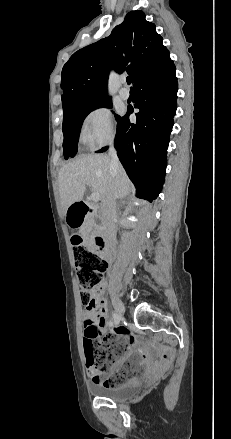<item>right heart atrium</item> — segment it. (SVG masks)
Listing matches in <instances>:
<instances>
[{"label": "right heart atrium", "mask_w": 231, "mask_h": 439, "mask_svg": "<svg viewBox=\"0 0 231 439\" xmlns=\"http://www.w3.org/2000/svg\"><path fill=\"white\" fill-rule=\"evenodd\" d=\"M115 128L111 111L99 105L87 112L82 122V141L91 148H100L113 141Z\"/></svg>", "instance_id": "obj_1"}]
</instances>
